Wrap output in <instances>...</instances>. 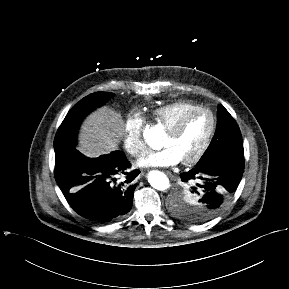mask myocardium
I'll return each instance as SVG.
<instances>
[{"label":"myocardium","mask_w":289,"mask_h":289,"mask_svg":"<svg viewBox=\"0 0 289 289\" xmlns=\"http://www.w3.org/2000/svg\"><path fill=\"white\" fill-rule=\"evenodd\" d=\"M202 112L209 114V116L211 117V121H212L211 129L205 141L200 146V148L191 157L181 160L182 164L184 165H190V164H194L198 162L206 153L216 133L217 118L215 114L213 113V111L210 110L209 108L198 107V108L192 109L184 113L171 127L167 129V133H169L170 135H173V136L178 135L183 130L187 121L193 115L202 113Z\"/></svg>","instance_id":"myocardium-1"}]
</instances>
